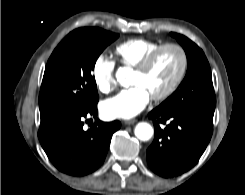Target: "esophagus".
Instances as JSON below:
<instances>
[{
    "mask_svg": "<svg viewBox=\"0 0 245 195\" xmlns=\"http://www.w3.org/2000/svg\"><path fill=\"white\" fill-rule=\"evenodd\" d=\"M136 122V119H131V120H126L125 121V124L126 125H132V124H134Z\"/></svg>",
    "mask_w": 245,
    "mask_h": 195,
    "instance_id": "1",
    "label": "esophagus"
}]
</instances>
